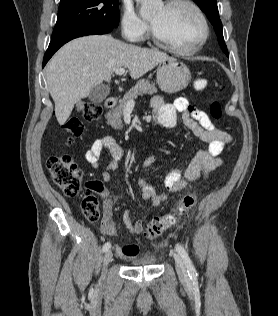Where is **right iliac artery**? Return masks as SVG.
<instances>
[{
	"mask_svg": "<svg viewBox=\"0 0 278 316\" xmlns=\"http://www.w3.org/2000/svg\"><path fill=\"white\" fill-rule=\"evenodd\" d=\"M111 247L110 242H107L103 245V252H107Z\"/></svg>",
	"mask_w": 278,
	"mask_h": 316,
	"instance_id": "82829eb1",
	"label": "right iliac artery"
}]
</instances>
